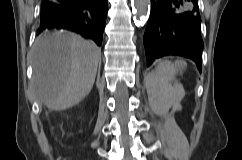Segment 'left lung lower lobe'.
I'll return each mask as SVG.
<instances>
[{"instance_id":"left-lung-lower-lobe-1","label":"left lung lower lobe","mask_w":242,"mask_h":160,"mask_svg":"<svg viewBox=\"0 0 242 160\" xmlns=\"http://www.w3.org/2000/svg\"><path fill=\"white\" fill-rule=\"evenodd\" d=\"M198 0H151L143 43L147 65L167 55L192 59L201 71L203 41Z\"/></svg>"}]
</instances>
